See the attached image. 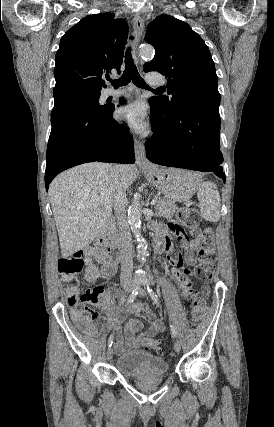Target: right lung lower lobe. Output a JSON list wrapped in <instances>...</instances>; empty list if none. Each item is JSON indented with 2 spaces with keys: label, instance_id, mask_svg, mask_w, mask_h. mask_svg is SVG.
<instances>
[{
  "label": "right lung lower lobe",
  "instance_id": "98d812e1",
  "mask_svg": "<svg viewBox=\"0 0 274 427\" xmlns=\"http://www.w3.org/2000/svg\"><path fill=\"white\" fill-rule=\"evenodd\" d=\"M122 103V102H121ZM114 106H81L51 118L46 153L45 185L70 167L86 162L134 163L128 127L112 118Z\"/></svg>",
  "mask_w": 274,
  "mask_h": 427
}]
</instances>
